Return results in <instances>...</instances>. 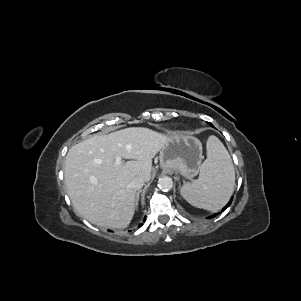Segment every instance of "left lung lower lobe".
Listing matches in <instances>:
<instances>
[{
	"instance_id": "1",
	"label": "left lung lower lobe",
	"mask_w": 301,
	"mask_h": 301,
	"mask_svg": "<svg viewBox=\"0 0 301 301\" xmlns=\"http://www.w3.org/2000/svg\"><path fill=\"white\" fill-rule=\"evenodd\" d=\"M231 202H232V198H231V200L228 202V204L222 209V212L231 204ZM215 215H213L212 217H214Z\"/></svg>"
}]
</instances>
